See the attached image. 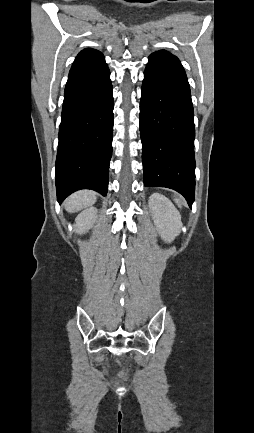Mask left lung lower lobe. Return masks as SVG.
<instances>
[{
    "label": "left lung lower lobe",
    "mask_w": 254,
    "mask_h": 433,
    "mask_svg": "<svg viewBox=\"0 0 254 433\" xmlns=\"http://www.w3.org/2000/svg\"><path fill=\"white\" fill-rule=\"evenodd\" d=\"M190 86L179 59L152 53L144 71L140 133L144 185L176 190L192 205L195 128Z\"/></svg>",
    "instance_id": "obj_1"
}]
</instances>
